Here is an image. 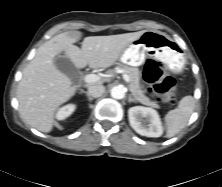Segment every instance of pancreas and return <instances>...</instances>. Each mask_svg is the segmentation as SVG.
<instances>
[{"instance_id":"obj_1","label":"pancreas","mask_w":222,"mask_h":187,"mask_svg":"<svg viewBox=\"0 0 222 187\" xmlns=\"http://www.w3.org/2000/svg\"><path fill=\"white\" fill-rule=\"evenodd\" d=\"M116 70H120L122 73L127 74L130 77L129 89L136 101L146 106L159 108L158 104L145 96L144 91L141 89L140 72L138 68L121 65L116 67Z\"/></svg>"}]
</instances>
